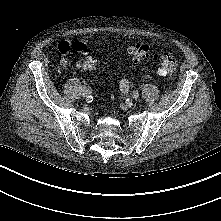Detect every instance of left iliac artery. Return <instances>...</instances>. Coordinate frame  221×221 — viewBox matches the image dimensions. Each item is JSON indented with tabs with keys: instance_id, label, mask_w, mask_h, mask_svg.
<instances>
[{
	"instance_id": "obj_1",
	"label": "left iliac artery",
	"mask_w": 221,
	"mask_h": 221,
	"mask_svg": "<svg viewBox=\"0 0 221 221\" xmlns=\"http://www.w3.org/2000/svg\"><path fill=\"white\" fill-rule=\"evenodd\" d=\"M120 89H121L122 95L124 97H126L128 95V92H129V84H128L127 80L123 79V80L120 81Z\"/></svg>"
}]
</instances>
